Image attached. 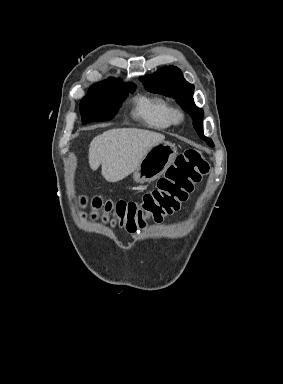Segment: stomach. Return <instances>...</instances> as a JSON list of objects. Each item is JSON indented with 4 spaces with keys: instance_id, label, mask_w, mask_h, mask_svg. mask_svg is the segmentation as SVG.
Segmentation results:
<instances>
[{
    "instance_id": "0dacf381",
    "label": "stomach",
    "mask_w": 283,
    "mask_h": 384,
    "mask_svg": "<svg viewBox=\"0 0 283 384\" xmlns=\"http://www.w3.org/2000/svg\"><path fill=\"white\" fill-rule=\"evenodd\" d=\"M177 150L170 142H158L148 150L133 174L136 184L154 182L160 178L176 158Z\"/></svg>"
}]
</instances>
